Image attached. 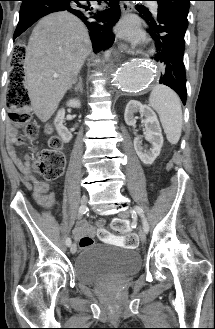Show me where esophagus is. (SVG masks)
Instances as JSON below:
<instances>
[{"instance_id": "obj_1", "label": "esophagus", "mask_w": 215, "mask_h": 329, "mask_svg": "<svg viewBox=\"0 0 215 329\" xmlns=\"http://www.w3.org/2000/svg\"><path fill=\"white\" fill-rule=\"evenodd\" d=\"M121 8H122L123 14H127L128 12L131 11L130 4L127 3V2L122 3ZM118 48L121 52H126L128 54L132 53V50L130 49V47L127 44L123 43V42L119 43Z\"/></svg>"}]
</instances>
